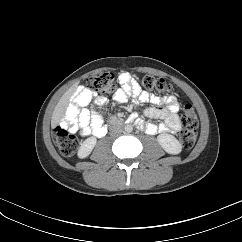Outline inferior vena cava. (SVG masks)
<instances>
[{
	"mask_svg": "<svg viewBox=\"0 0 242 242\" xmlns=\"http://www.w3.org/2000/svg\"><path fill=\"white\" fill-rule=\"evenodd\" d=\"M122 132H123V129L120 126H114L110 131L112 136H117V135L121 134Z\"/></svg>",
	"mask_w": 242,
	"mask_h": 242,
	"instance_id": "inferior-vena-cava-1",
	"label": "inferior vena cava"
}]
</instances>
